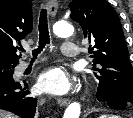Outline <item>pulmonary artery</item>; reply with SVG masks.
<instances>
[{"instance_id":"pulmonary-artery-1","label":"pulmonary artery","mask_w":133,"mask_h":118,"mask_svg":"<svg viewBox=\"0 0 133 118\" xmlns=\"http://www.w3.org/2000/svg\"><path fill=\"white\" fill-rule=\"evenodd\" d=\"M61 49H62L63 55L68 58L76 57L79 54L78 46L72 42H64L62 44ZM29 66H30L29 62L21 61L16 67V72L21 73L24 70H26Z\"/></svg>"}]
</instances>
